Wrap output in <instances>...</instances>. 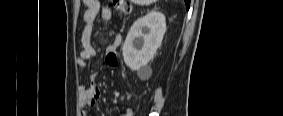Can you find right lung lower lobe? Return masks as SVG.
Masks as SVG:
<instances>
[{
    "instance_id": "1",
    "label": "right lung lower lobe",
    "mask_w": 283,
    "mask_h": 116,
    "mask_svg": "<svg viewBox=\"0 0 283 116\" xmlns=\"http://www.w3.org/2000/svg\"><path fill=\"white\" fill-rule=\"evenodd\" d=\"M185 1V3H186V8H187V10L189 9V6H190V0H184Z\"/></svg>"
}]
</instances>
